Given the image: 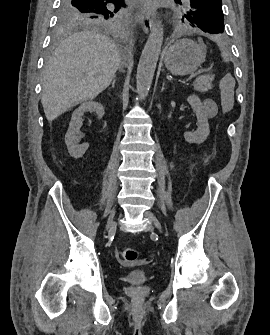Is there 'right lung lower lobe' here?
<instances>
[{"instance_id": "right-lung-lower-lobe-1", "label": "right lung lower lobe", "mask_w": 270, "mask_h": 335, "mask_svg": "<svg viewBox=\"0 0 270 335\" xmlns=\"http://www.w3.org/2000/svg\"><path fill=\"white\" fill-rule=\"evenodd\" d=\"M117 2H121V0L117 1ZM123 5H125L124 1L122 2Z\"/></svg>"}]
</instances>
